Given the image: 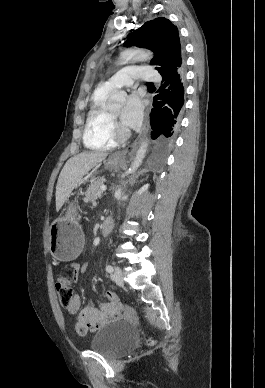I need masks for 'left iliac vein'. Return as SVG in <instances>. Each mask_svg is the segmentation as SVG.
Here are the masks:
<instances>
[{"mask_svg":"<svg viewBox=\"0 0 265 388\" xmlns=\"http://www.w3.org/2000/svg\"><path fill=\"white\" fill-rule=\"evenodd\" d=\"M113 280L119 286H122L124 284L123 272H122L121 268L118 266L115 267V271L113 274Z\"/></svg>","mask_w":265,"mask_h":388,"instance_id":"4c4485c4","label":"left iliac vein"}]
</instances>
